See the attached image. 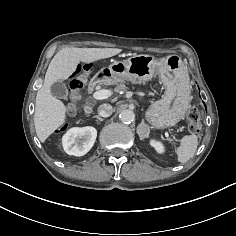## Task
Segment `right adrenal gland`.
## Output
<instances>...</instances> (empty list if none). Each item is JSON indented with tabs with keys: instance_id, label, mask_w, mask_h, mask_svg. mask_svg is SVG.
I'll return each instance as SVG.
<instances>
[{
	"instance_id": "2a0ac1e0",
	"label": "right adrenal gland",
	"mask_w": 236,
	"mask_h": 236,
	"mask_svg": "<svg viewBox=\"0 0 236 236\" xmlns=\"http://www.w3.org/2000/svg\"><path fill=\"white\" fill-rule=\"evenodd\" d=\"M94 118H97L100 122L104 121V119L101 118L99 115H95Z\"/></svg>"
}]
</instances>
